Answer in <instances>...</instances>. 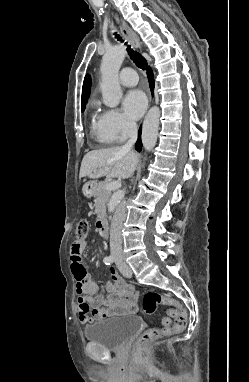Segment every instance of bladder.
Here are the masks:
<instances>
[{
    "instance_id": "31cf9c89",
    "label": "bladder",
    "mask_w": 249,
    "mask_h": 382,
    "mask_svg": "<svg viewBox=\"0 0 249 382\" xmlns=\"http://www.w3.org/2000/svg\"><path fill=\"white\" fill-rule=\"evenodd\" d=\"M141 326V319L134 315L113 316L93 322L84 328L85 339L105 350L118 351Z\"/></svg>"
}]
</instances>
